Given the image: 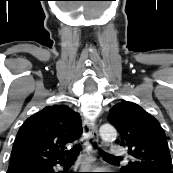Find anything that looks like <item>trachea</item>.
Listing matches in <instances>:
<instances>
[{"label":"trachea","instance_id":"3493384b","mask_svg":"<svg viewBox=\"0 0 173 173\" xmlns=\"http://www.w3.org/2000/svg\"><path fill=\"white\" fill-rule=\"evenodd\" d=\"M81 147L79 145L75 146L74 148H72L71 150H69L67 153L69 154V156H67V161H75L77 156L79 155ZM102 154L108 158H116L112 155H110L109 153H105L102 151Z\"/></svg>","mask_w":173,"mask_h":173}]
</instances>
